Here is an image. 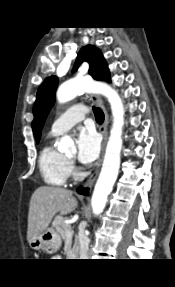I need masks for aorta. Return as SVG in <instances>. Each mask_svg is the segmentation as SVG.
Here are the masks:
<instances>
[{
    "mask_svg": "<svg viewBox=\"0 0 175 287\" xmlns=\"http://www.w3.org/2000/svg\"><path fill=\"white\" fill-rule=\"evenodd\" d=\"M94 90L104 95L110 105L113 115V125L110 131L106 147L102 169L94 188L91 199L92 210L99 215L105 208L107 197L113 189L120 167V154L122 149V128L124 125V107L118 93L104 83L88 84L85 80L75 78L62 84L57 91L59 103H66L74 99L80 92ZM60 152H75L73 140L69 136H63L57 143Z\"/></svg>",
    "mask_w": 175,
    "mask_h": 287,
    "instance_id": "762f6f07",
    "label": "aorta"
}]
</instances>
